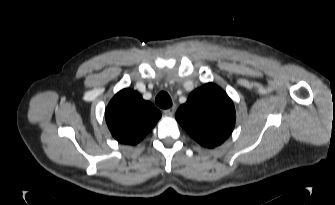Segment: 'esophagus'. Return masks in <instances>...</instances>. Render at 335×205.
<instances>
[{
	"label": "esophagus",
	"mask_w": 335,
	"mask_h": 205,
	"mask_svg": "<svg viewBox=\"0 0 335 205\" xmlns=\"http://www.w3.org/2000/svg\"><path fill=\"white\" fill-rule=\"evenodd\" d=\"M175 111H176V107L173 106V107H171V108H169V109H165V110H163V113H164L165 115H173V114L175 113Z\"/></svg>",
	"instance_id": "1"
}]
</instances>
